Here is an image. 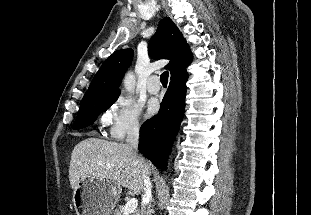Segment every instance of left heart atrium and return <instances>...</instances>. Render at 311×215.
Returning <instances> with one entry per match:
<instances>
[{
  "mask_svg": "<svg viewBox=\"0 0 311 215\" xmlns=\"http://www.w3.org/2000/svg\"><path fill=\"white\" fill-rule=\"evenodd\" d=\"M159 110V103L156 100H151L147 105V115L153 116Z\"/></svg>",
  "mask_w": 311,
  "mask_h": 215,
  "instance_id": "39dd6f15",
  "label": "left heart atrium"
}]
</instances>
